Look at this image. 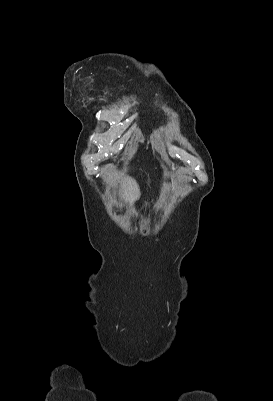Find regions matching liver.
<instances>
[{
    "mask_svg": "<svg viewBox=\"0 0 273 401\" xmlns=\"http://www.w3.org/2000/svg\"><path fill=\"white\" fill-rule=\"evenodd\" d=\"M113 176H118V174H113ZM119 182H121V192H123L125 203L133 205L134 201H137V198L140 196V188L136 180L131 178V176H125Z\"/></svg>",
    "mask_w": 273,
    "mask_h": 401,
    "instance_id": "1",
    "label": "liver"
}]
</instances>
